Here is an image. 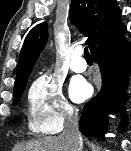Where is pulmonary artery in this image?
I'll return each instance as SVG.
<instances>
[{
  "mask_svg": "<svg viewBox=\"0 0 131 151\" xmlns=\"http://www.w3.org/2000/svg\"><path fill=\"white\" fill-rule=\"evenodd\" d=\"M70 68L76 73H81L86 70L87 64L82 58V49L78 48L74 50L70 62Z\"/></svg>",
  "mask_w": 131,
  "mask_h": 151,
  "instance_id": "obj_1",
  "label": "pulmonary artery"
}]
</instances>
